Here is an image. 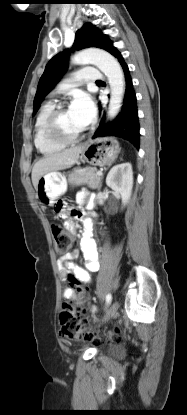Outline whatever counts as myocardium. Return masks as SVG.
<instances>
[{"mask_svg": "<svg viewBox=\"0 0 187 415\" xmlns=\"http://www.w3.org/2000/svg\"><path fill=\"white\" fill-rule=\"evenodd\" d=\"M67 109L65 102L56 105L47 117L45 130L47 136L54 142L62 145H71L80 141L85 134V129L77 135L68 136L64 134L59 126V119Z\"/></svg>", "mask_w": 187, "mask_h": 415, "instance_id": "1", "label": "myocardium"}]
</instances>
